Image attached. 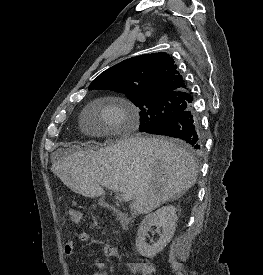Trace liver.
Segmentation results:
<instances>
[{
    "mask_svg": "<svg viewBox=\"0 0 263 275\" xmlns=\"http://www.w3.org/2000/svg\"><path fill=\"white\" fill-rule=\"evenodd\" d=\"M56 159V160H55ZM52 172L75 193L105 194V188L132 195V215L147 214L182 196L197 180L193 156L163 138L135 136L98 150L59 151Z\"/></svg>",
    "mask_w": 263,
    "mask_h": 275,
    "instance_id": "obj_1",
    "label": "liver"
}]
</instances>
